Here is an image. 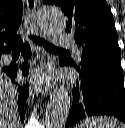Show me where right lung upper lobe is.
<instances>
[{
    "instance_id": "right-lung-upper-lobe-1",
    "label": "right lung upper lobe",
    "mask_w": 125,
    "mask_h": 128,
    "mask_svg": "<svg viewBox=\"0 0 125 128\" xmlns=\"http://www.w3.org/2000/svg\"><path fill=\"white\" fill-rule=\"evenodd\" d=\"M22 0H0V54L21 42L16 34L22 21Z\"/></svg>"
}]
</instances>
